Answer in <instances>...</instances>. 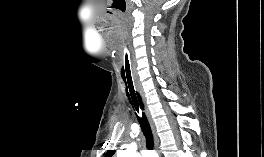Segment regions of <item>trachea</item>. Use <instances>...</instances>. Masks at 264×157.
Masks as SVG:
<instances>
[{"label": "trachea", "mask_w": 264, "mask_h": 157, "mask_svg": "<svg viewBox=\"0 0 264 157\" xmlns=\"http://www.w3.org/2000/svg\"><path fill=\"white\" fill-rule=\"evenodd\" d=\"M121 77L125 84L126 95L131 105L136 110L137 119L146 139V147L148 150H153L154 139L152 130L144 113V105L141 96L135 89L131 55L126 46L123 48Z\"/></svg>", "instance_id": "trachea-1"}]
</instances>
